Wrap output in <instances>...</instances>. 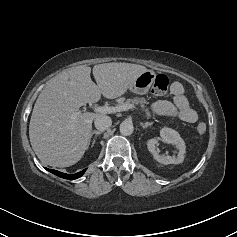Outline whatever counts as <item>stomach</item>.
I'll return each mask as SVG.
<instances>
[{
	"mask_svg": "<svg viewBox=\"0 0 237 237\" xmlns=\"http://www.w3.org/2000/svg\"><path fill=\"white\" fill-rule=\"evenodd\" d=\"M155 78V73L151 70H147L141 73L129 86V90L133 93L144 95L146 94Z\"/></svg>",
	"mask_w": 237,
	"mask_h": 237,
	"instance_id": "stomach-1",
	"label": "stomach"
}]
</instances>
